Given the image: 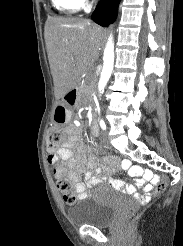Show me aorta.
Instances as JSON below:
<instances>
[{"instance_id": "aorta-1", "label": "aorta", "mask_w": 183, "mask_h": 246, "mask_svg": "<svg viewBox=\"0 0 183 246\" xmlns=\"http://www.w3.org/2000/svg\"><path fill=\"white\" fill-rule=\"evenodd\" d=\"M103 68L98 83V91L100 94L104 92V88L112 74L114 65V41L112 35L108 38L103 57Z\"/></svg>"}]
</instances>
